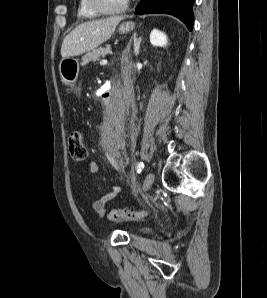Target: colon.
Here are the masks:
<instances>
[{"mask_svg": "<svg viewBox=\"0 0 267 298\" xmlns=\"http://www.w3.org/2000/svg\"><path fill=\"white\" fill-rule=\"evenodd\" d=\"M68 150L73 161L84 162L87 159L88 151L81 131H73L69 134ZM148 212L145 210H131L126 208H114L108 212V219L113 222L121 220L137 221L145 218Z\"/></svg>", "mask_w": 267, "mask_h": 298, "instance_id": "obj_1", "label": "colon"}]
</instances>
